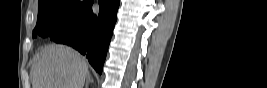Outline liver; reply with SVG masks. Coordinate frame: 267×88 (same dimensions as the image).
<instances>
[{"label": "liver", "mask_w": 267, "mask_h": 88, "mask_svg": "<svg viewBox=\"0 0 267 88\" xmlns=\"http://www.w3.org/2000/svg\"><path fill=\"white\" fill-rule=\"evenodd\" d=\"M88 63L77 51L51 44L38 57L32 72L33 88H83Z\"/></svg>", "instance_id": "1"}]
</instances>
